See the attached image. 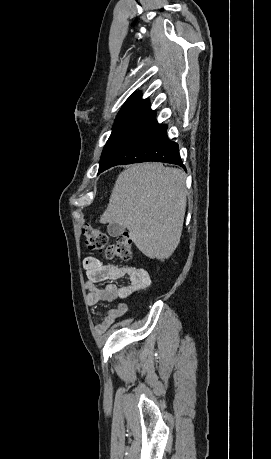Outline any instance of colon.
<instances>
[{
  "instance_id": "colon-1",
  "label": "colon",
  "mask_w": 271,
  "mask_h": 459,
  "mask_svg": "<svg viewBox=\"0 0 271 459\" xmlns=\"http://www.w3.org/2000/svg\"><path fill=\"white\" fill-rule=\"evenodd\" d=\"M85 245L88 249L100 252L108 259H121L128 261L133 256L130 236L127 233L119 235L114 242L100 229L92 226L83 228Z\"/></svg>"
}]
</instances>
